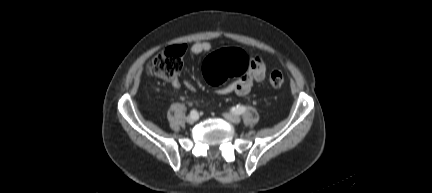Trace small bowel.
I'll use <instances>...</instances> for the list:
<instances>
[{
    "mask_svg": "<svg viewBox=\"0 0 432 193\" xmlns=\"http://www.w3.org/2000/svg\"><path fill=\"white\" fill-rule=\"evenodd\" d=\"M212 45L207 41H199L194 43L190 47V51L193 54H202L211 51ZM266 77V66L261 58L258 56H251V67L250 69L238 77L235 81L218 88V93L220 94H230L235 93L239 96H245L250 91L254 82H261ZM186 86L193 89L194 86L191 82L186 81ZM174 87H179L180 83L178 81L173 82Z\"/></svg>",
    "mask_w": 432,
    "mask_h": 193,
    "instance_id": "c3829d8e",
    "label": "small bowel"
}]
</instances>
